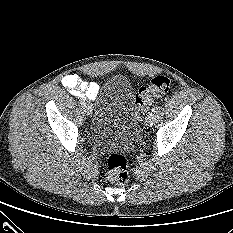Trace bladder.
<instances>
[{
	"mask_svg": "<svg viewBox=\"0 0 233 233\" xmlns=\"http://www.w3.org/2000/svg\"><path fill=\"white\" fill-rule=\"evenodd\" d=\"M96 142L101 146H131L139 137L134 117V90L123 75L113 77L97 99L92 124Z\"/></svg>",
	"mask_w": 233,
	"mask_h": 233,
	"instance_id": "31cf9c89",
	"label": "bladder"
}]
</instances>
